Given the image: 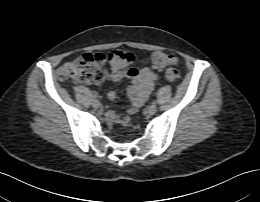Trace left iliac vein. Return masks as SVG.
<instances>
[{
    "label": "left iliac vein",
    "instance_id": "4c4485c4",
    "mask_svg": "<svg viewBox=\"0 0 260 202\" xmlns=\"http://www.w3.org/2000/svg\"><path fill=\"white\" fill-rule=\"evenodd\" d=\"M157 111V106L155 104H151L147 107V112L149 114H155Z\"/></svg>",
    "mask_w": 260,
    "mask_h": 202
}]
</instances>
